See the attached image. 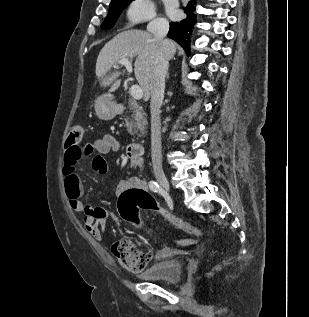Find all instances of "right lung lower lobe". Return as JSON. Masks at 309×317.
Listing matches in <instances>:
<instances>
[{"label": "right lung lower lobe", "mask_w": 309, "mask_h": 317, "mask_svg": "<svg viewBox=\"0 0 309 317\" xmlns=\"http://www.w3.org/2000/svg\"><path fill=\"white\" fill-rule=\"evenodd\" d=\"M196 0H191L189 4L184 8L185 13L187 14V18L178 22V23H170V30L168 33V37L175 40L178 44H180L183 49L186 51V54L189 56V44H190V36L194 24L196 23Z\"/></svg>", "instance_id": "right-lung-lower-lobe-1"}]
</instances>
